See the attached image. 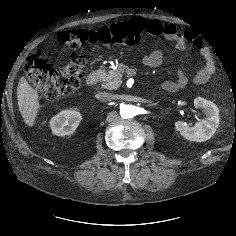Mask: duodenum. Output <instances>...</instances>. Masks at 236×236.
Here are the masks:
<instances>
[{
	"instance_id": "410a0bca",
	"label": "duodenum",
	"mask_w": 236,
	"mask_h": 236,
	"mask_svg": "<svg viewBox=\"0 0 236 236\" xmlns=\"http://www.w3.org/2000/svg\"><path fill=\"white\" fill-rule=\"evenodd\" d=\"M100 70L99 69H94L92 70L85 78V83L88 85V86H94L98 81H99V78H100Z\"/></svg>"
}]
</instances>
